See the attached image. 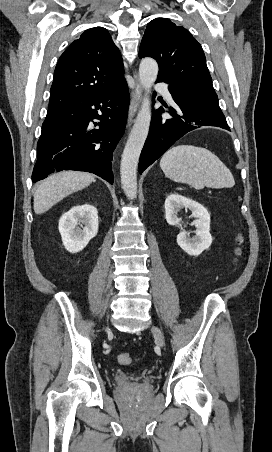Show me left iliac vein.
Returning <instances> with one entry per match:
<instances>
[{"mask_svg":"<svg viewBox=\"0 0 272 452\" xmlns=\"http://www.w3.org/2000/svg\"><path fill=\"white\" fill-rule=\"evenodd\" d=\"M151 330H152V333H153V335L155 337L156 343L160 347H163L164 346V338H163V335H162L160 329L155 327V326H153Z\"/></svg>","mask_w":272,"mask_h":452,"instance_id":"obj_1","label":"left iliac vein"}]
</instances>
